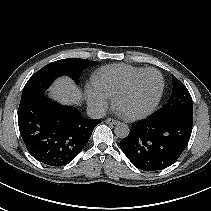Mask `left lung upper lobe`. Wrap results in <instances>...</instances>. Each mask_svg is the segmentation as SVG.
<instances>
[{
    "label": "left lung upper lobe",
    "instance_id": "1",
    "mask_svg": "<svg viewBox=\"0 0 211 211\" xmlns=\"http://www.w3.org/2000/svg\"><path fill=\"white\" fill-rule=\"evenodd\" d=\"M173 90L167 103L158 110L154 117L183 116L193 120V102L187 88L172 75Z\"/></svg>",
    "mask_w": 211,
    "mask_h": 211
}]
</instances>
